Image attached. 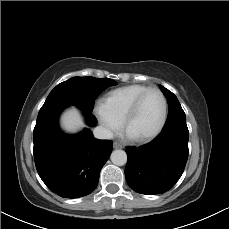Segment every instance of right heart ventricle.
<instances>
[{
  "mask_svg": "<svg viewBox=\"0 0 229 229\" xmlns=\"http://www.w3.org/2000/svg\"><path fill=\"white\" fill-rule=\"evenodd\" d=\"M149 88L146 85L131 84L114 89L106 94L103 104L109 114L121 122L133 100Z\"/></svg>",
  "mask_w": 229,
  "mask_h": 229,
  "instance_id": "1",
  "label": "right heart ventricle"
}]
</instances>
